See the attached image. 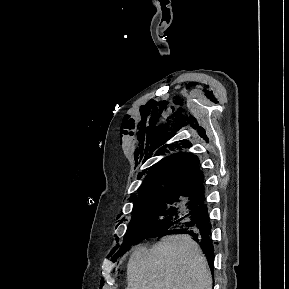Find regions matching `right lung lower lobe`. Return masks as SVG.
<instances>
[{
    "mask_svg": "<svg viewBox=\"0 0 289 289\" xmlns=\"http://www.w3.org/2000/svg\"><path fill=\"white\" fill-rule=\"evenodd\" d=\"M198 197H200V202L194 209L193 214L179 228L172 230L170 234L185 233L194 237L207 256L209 266L212 269L214 250L209 237L211 234V223L208 218L207 206L204 203V195L202 194ZM152 237L162 236L156 234Z\"/></svg>",
    "mask_w": 289,
    "mask_h": 289,
    "instance_id": "98d812e1",
    "label": "right lung lower lobe"
}]
</instances>
